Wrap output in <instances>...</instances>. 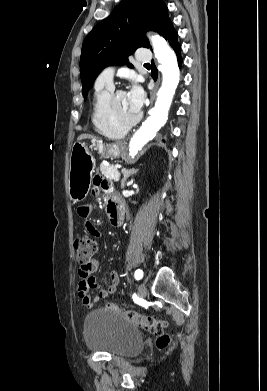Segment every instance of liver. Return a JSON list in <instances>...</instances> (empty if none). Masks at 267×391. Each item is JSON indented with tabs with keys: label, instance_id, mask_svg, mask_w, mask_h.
I'll return each instance as SVG.
<instances>
[{
	"label": "liver",
	"instance_id": "6515ba94",
	"mask_svg": "<svg viewBox=\"0 0 267 391\" xmlns=\"http://www.w3.org/2000/svg\"><path fill=\"white\" fill-rule=\"evenodd\" d=\"M83 139H94V137H93L92 135H90V134H81V135L77 138L78 141H81V140H83Z\"/></svg>",
	"mask_w": 267,
	"mask_h": 391
}]
</instances>
